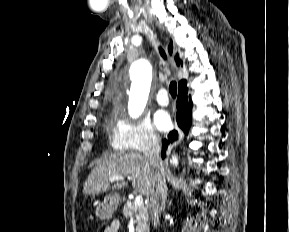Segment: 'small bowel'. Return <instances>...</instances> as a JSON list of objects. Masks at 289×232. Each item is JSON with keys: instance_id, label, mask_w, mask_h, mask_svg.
Returning a JSON list of instances; mask_svg holds the SVG:
<instances>
[{"instance_id": "obj_1", "label": "small bowel", "mask_w": 289, "mask_h": 232, "mask_svg": "<svg viewBox=\"0 0 289 232\" xmlns=\"http://www.w3.org/2000/svg\"><path fill=\"white\" fill-rule=\"evenodd\" d=\"M120 229V224L118 221H112L105 229L104 232H118Z\"/></svg>"}]
</instances>
